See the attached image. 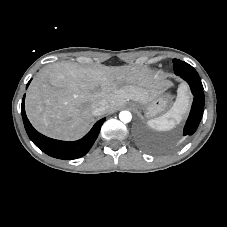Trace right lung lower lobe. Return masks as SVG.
Masks as SVG:
<instances>
[{"label": "right lung lower lobe", "instance_id": "right-lung-lower-lobe-1", "mask_svg": "<svg viewBox=\"0 0 227 227\" xmlns=\"http://www.w3.org/2000/svg\"><path fill=\"white\" fill-rule=\"evenodd\" d=\"M28 82L27 86L29 85ZM25 95L22 99L21 114L26 132L31 141L44 153L59 159L71 160L84 156L94 144L105 118L95 123L93 128L82 139L73 142L48 138L37 132L29 122L24 107Z\"/></svg>", "mask_w": 227, "mask_h": 227}]
</instances>
